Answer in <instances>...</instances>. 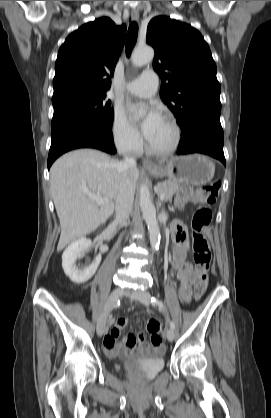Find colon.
Here are the masks:
<instances>
[{"label": "colon", "instance_id": "1", "mask_svg": "<svg viewBox=\"0 0 271 418\" xmlns=\"http://www.w3.org/2000/svg\"><path fill=\"white\" fill-rule=\"evenodd\" d=\"M220 189L219 182H212L200 188L189 186L182 187L176 197V204L184 208L191 203H200L192 218L193 258L195 263L194 296L198 299L206 290L208 284V272L211 264V251L209 243L204 235V230L212 220V205L216 202ZM147 329L151 333L150 340L153 344L161 343V337L157 335L160 324L150 319Z\"/></svg>", "mask_w": 271, "mask_h": 418}]
</instances>
